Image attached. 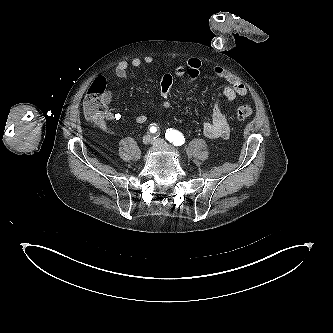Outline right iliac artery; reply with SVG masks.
Masks as SVG:
<instances>
[{"mask_svg": "<svg viewBox=\"0 0 333 333\" xmlns=\"http://www.w3.org/2000/svg\"><path fill=\"white\" fill-rule=\"evenodd\" d=\"M150 132H151V133H156V132H157V127L154 126V125H152V126L150 127Z\"/></svg>", "mask_w": 333, "mask_h": 333, "instance_id": "1", "label": "right iliac artery"}]
</instances>
